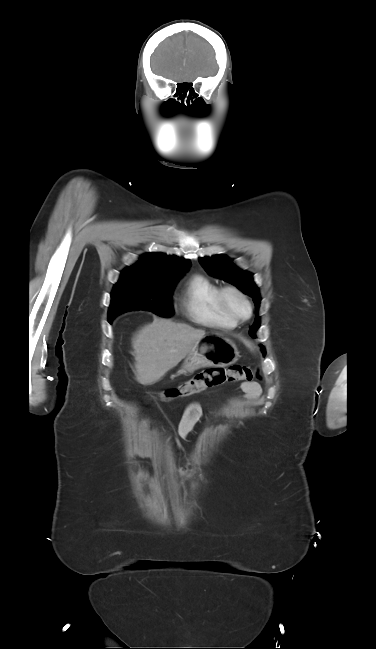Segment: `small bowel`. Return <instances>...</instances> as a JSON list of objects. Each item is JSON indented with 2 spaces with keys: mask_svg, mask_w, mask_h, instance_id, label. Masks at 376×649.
Listing matches in <instances>:
<instances>
[{
  "mask_svg": "<svg viewBox=\"0 0 376 649\" xmlns=\"http://www.w3.org/2000/svg\"><path fill=\"white\" fill-rule=\"evenodd\" d=\"M241 389L244 392L245 398L249 403H254L261 396V386L254 381L243 382ZM202 416L201 405L194 401L189 403L183 412L182 418L178 426V435L182 439H187L193 430L194 425L199 421Z\"/></svg>",
  "mask_w": 376,
  "mask_h": 649,
  "instance_id": "c3829d8e",
  "label": "small bowel"
}]
</instances>
